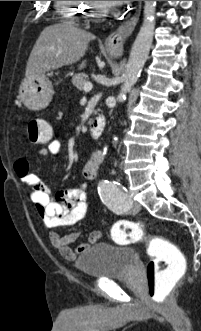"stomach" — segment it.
I'll return each instance as SVG.
<instances>
[{
  "mask_svg": "<svg viewBox=\"0 0 201 331\" xmlns=\"http://www.w3.org/2000/svg\"><path fill=\"white\" fill-rule=\"evenodd\" d=\"M20 99L33 111L46 108L52 100L54 89L47 76L39 75L25 78L20 85Z\"/></svg>",
  "mask_w": 201,
  "mask_h": 331,
  "instance_id": "obj_1",
  "label": "stomach"
}]
</instances>
